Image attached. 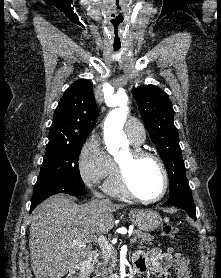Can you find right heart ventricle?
I'll list each match as a JSON object with an SVG mask.
<instances>
[{"label": "right heart ventricle", "mask_w": 221, "mask_h": 278, "mask_svg": "<svg viewBox=\"0 0 221 278\" xmlns=\"http://www.w3.org/2000/svg\"><path fill=\"white\" fill-rule=\"evenodd\" d=\"M135 147H138L141 143L132 142ZM106 191L114 196H123V192L120 190L117 179H116V171H114L107 179L105 183Z\"/></svg>", "instance_id": "obj_1"}]
</instances>
